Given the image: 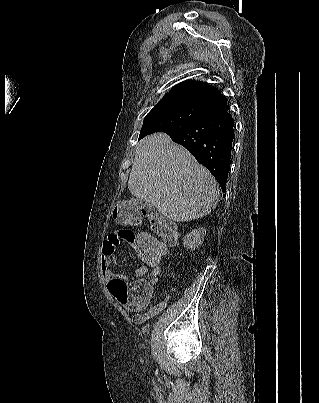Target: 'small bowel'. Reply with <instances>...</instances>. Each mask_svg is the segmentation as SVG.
Here are the masks:
<instances>
[{"instance_id": "obj_1", "label": "small bowel", "mask_w": 319, "mask_h": 403, "mask_svg": "<svg viewBox=\"0 0 319 403\" xmlns=\"http://www.w3.org/2000/svg\"><path fill=\"white\" fill-rule=\"evenodd\" d=\"M101 273L105 281H108V294L113 295L115 305H120L121 309H127L128 315H135L136 309H147L149 300L153 297V287L161 272V257L144 258L141 254V265L131 276L117 274L112 269V264L116 260V249H138L134 229H130L128 224L114 226L113 229L105 231L104 240L100 242ZM139 250V249H138ZM149 271L148 279H139ZM165 302L158 303L152 307L143 317L149 318L163 309ZM140 321V318H137Z\"/></svg>"}]
</instances>
